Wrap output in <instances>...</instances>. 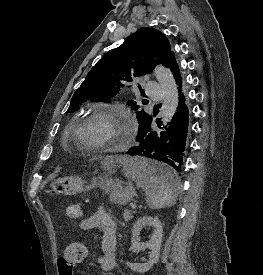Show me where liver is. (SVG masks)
Masks as SVG:
<instances>
[{"label":"liver","mask_w":263,"mask_h":275,"mask_svg":"<svg viewBox=\"0 0 263 275\" xmlns=\"http://www.w3.org/2000/svg\"><path fill=\"white\" fill-rule=\"evenodd\" d=\"M124 160V157H121V156H110V157H107L105 159V164H110V163H113V162H120L122 163V161Z\"/></svg>","instance_id":"6515ba94"}]
</instances>
